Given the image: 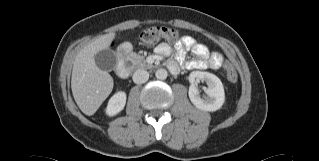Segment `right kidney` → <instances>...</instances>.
<instances>
[{"mask_svg": "<svg viewBox=\"0 0 319 161\" xmlns=\"http://www.w3.org/2000/svg\"><path fill=\"white\" fill-rule=\"evenodd\" d=\"M126 104V93L123 91H119L115 93L109 100L107 108H106V114L108 116H115L119 112H121Z\"/></svg>", "mask_w": 319, "mask_h": 161, "instance_id": "right-kidney-1", "label": "right kidney"}]
</instances>
